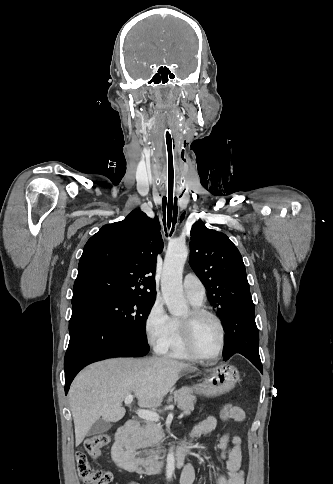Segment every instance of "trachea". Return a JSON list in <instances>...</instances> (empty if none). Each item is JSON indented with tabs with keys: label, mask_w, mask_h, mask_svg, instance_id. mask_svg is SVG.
<instances>
[{
	"label": "trachea",
	"mask_w": 333,
	"mask_h": 484,
	"mask_svg": "<svg viewBox=\"0 0 333 484\" xmlns=\"http://www.w3.org/2000/svg\"><path fill=\"white\" fill-rule=\"evenodd\" d=\"M161 147L160 152L163 155L164 165L163 171L165 176V189L163 192V225L165 233L174 232L175 224L177 222V197L179 190L178 182L176 180L178 173L176 171L177 157L174 150L175 133L171 129H165L161 133Z\"/></svg>",
	"instance_id": "3493384b"
}]
</instances>
